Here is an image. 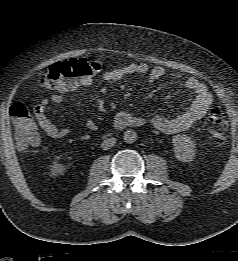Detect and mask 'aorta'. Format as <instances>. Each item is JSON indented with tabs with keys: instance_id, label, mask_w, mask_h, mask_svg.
Here are the masks:
<instances>
[{
	"instance_id": "aorta-1",
	"label": "aorta",
	"mask_w": 238,
	"mask_h": 261,
	"mask_svg": "<svg viewBox=\"0 0 238 261\" xmlns=\"http://www.w3.org/2000/svg\"><path fill=\"white\" fill-rule=\"evenodd\" d=\"M124 140L127 143L135 142L137 140V133L132 129L126 130L124 132Z\"/></svg>"
}]
</instances>
